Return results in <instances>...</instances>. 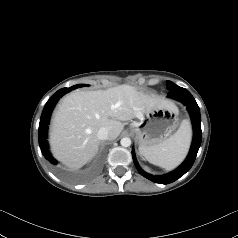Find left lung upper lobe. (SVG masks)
Instances as JSON below:
<instances>
[{"label": "left lung upper lobe", "instance_id": "5c2ea615", "mask_svg": "<svg viewBox=\"0 0 238 238\" xmlns=\"http://www.w3.org/2000/svg\"><path fill=\"white\" fill-rule=\"evenodd\" d=\"M176 87H178L176 84H174V83L171 82V81H167V88H168V90H173V89H175Z\"/></svg>", "mask_w": 238, "mask_h": 238}]
</instances>
